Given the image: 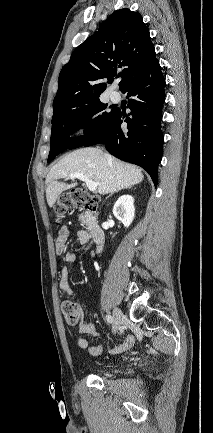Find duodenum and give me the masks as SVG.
Segmentation results:
<instances>
[{
    "label": "duodenum",
    "mask_w": 213,
    "mask_h": 433,
    "mask_svg": "<svg viewBox=\"0 0 213 433\" xmlns=\"http://www.w3.org/2000/svg\"><path fill=\"white\" fill-rule=\"evenodd\" d=\"M89 211V210H88ZM89 229L93 242L96 245H103L104 243V231L98 225L95 218L93 217V212L89 211Z\"/></svg>",
    "instance_id": "410a0bca"
}]
</instances>
